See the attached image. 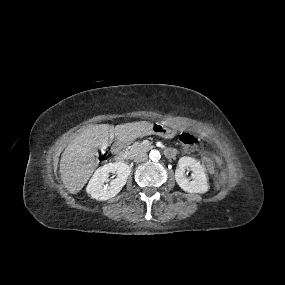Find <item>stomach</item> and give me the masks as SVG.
<instances>
[{
	"label": "stomach",
	"instance_id": "1",
	"mask_svg": "<svg viewBox=\"0 0 285 285\" xmlns=\"http://www.w3.org/2000/svg\"><path fill=\"white\" fill-rule=\"evenodd\" d=\"M148 133L157 134L162 137H168L169 135H171L172 130L162 124L157 123V124L152 125V128L149 130Z\"/></svg>",
	"mask_w": 285,
	"mask_h": 285
}]
</instances>
